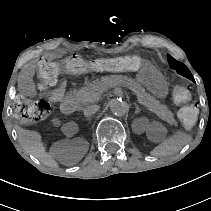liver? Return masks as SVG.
<instances>
[{
	"instance_id": "liver-1",
	"label": "liver",
	"mask_w": 211,
	"mask_h": 211,
	"mask_svg": "<svg viewBox=\"0 0 211 211\" xmlns=\"http://www.w3.org/2000/svg\"><path fill=\"white\" fill-rule=\"evenodd\" d=\"M18 132V139L26 152L34 155L45 165L56 167V162L50 155L45 152L40 140L41 136L35 131L25 130L19 126L16 127Z\"/></svg>"
}]
</instances>
